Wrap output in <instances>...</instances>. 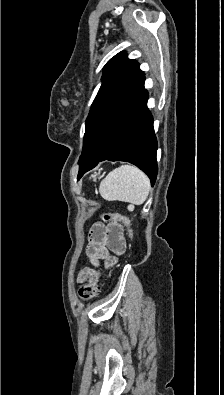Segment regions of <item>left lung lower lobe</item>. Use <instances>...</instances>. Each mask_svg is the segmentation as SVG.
I'll return each mask as SVG.
<instances>
[{
  "instance_id": "obj_1",
  "label": "left lung lower lobe",
  "mask_w": 224,
  "mask_h": 395,
  "mask_svg": "<svg viewBox=\"0 0 224 395\" xmlns=\"http://www.w3.org/2000/svg\"><path fill=\"white\" fill-rule=\"evenodd\" d=\"M141 72L97 114L79 160L78 180L100 161H127L157 176V140Z\"/></svg>"
}]
</instances>
